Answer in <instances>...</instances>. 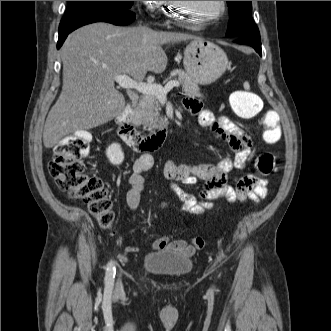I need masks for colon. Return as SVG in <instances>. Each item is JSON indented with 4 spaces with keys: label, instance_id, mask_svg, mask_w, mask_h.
Wrapping results in <instances>:
<instances>
[{
    "label": "colon",
    "instance_id": "1",
    "mask_svg": "<svg viewBox=\"0 0 331 331\" xmlns=\"http://www.w3.org/2000/svg\"><path fill=\"white\" fill-rule=\"evenodd\" d=\"M230 106L234 114L241 119H253L261 113V98L248 90L235 91L230 96ZM265 142L275 144L281 136L280 119L276 112L269 111L261 119ZM91 136L84 131L75 132L62 139L55 147L49 162V173L57 187L67 192L72 199L85 204L99 224L108 228L114 220L112 203L107 197L103 181L85 172L83 159L88 155ZM255 170L261 175H268L275 168V158L270 152L259 154L254 162ZM195 248L201 249L205 241L201 236L192 240Z\"/></svg>",
    "mask_w": 331,
    "mask_h": 331
}]
</instances>
